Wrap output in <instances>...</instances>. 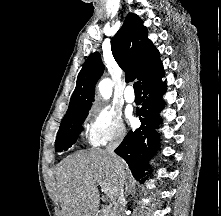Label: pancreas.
I'll list each match as a JSON object with an SVG mask.
<instances>
[{"label": "pancreas", "instance_id": "obj_1", "mask_svg": "<svg viewBox=\"0 0 221 216\" xmlns=\"http://www.w3.org/2000/svg\"><path fill=\"white\" fill-rule=\"evenodd\" d=\"M105 216H113V215L110 213V214H107V215H105Z\"/></svg>", "mask_w": 221, "mask_h": 216}]
</instances>
